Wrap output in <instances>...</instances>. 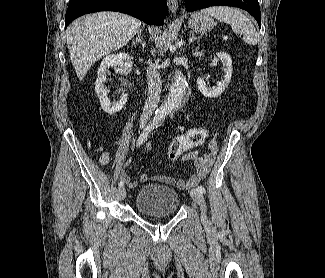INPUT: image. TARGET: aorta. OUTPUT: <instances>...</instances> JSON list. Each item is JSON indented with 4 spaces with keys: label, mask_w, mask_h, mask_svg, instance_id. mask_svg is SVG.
Returning a JSON list of instances; mask_svg holds the SVG:
<instances>
[{
    "label": "aorta",
    "mask_w": 325,
    "mask_h": 278,
    "mask_svg": "<svg viewBox=\"0 0 325 278\" xmlns=\"http://www.w3.org/2000/svg\"><path fill=\"white\" fill-rule=\"evenodd\" d=\"M187 89V81L179 69L174 74V83L170 87L167 100L157 109L154 120L161 122L174 109L181 104L182 98Z\"/></svg>",
    "instance_id": "aorta-1"
}]
</instances>
